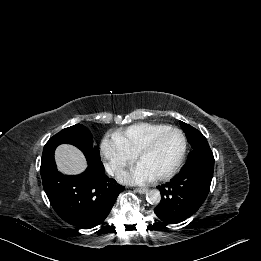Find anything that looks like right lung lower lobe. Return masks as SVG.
<instances>
[{"instance_id": "1", "label": "right lung lower lobe", "mask_w": 261, "mask_h": 261, "mask_svg": "<svg viewBox=\"0 0 261 261\" xmlns=\"http://www.w3.org/2000/svg\"><path fill=\"white\" fill-rule=\"evenodd\" d=\"M86 156V171L76 176L58 172L54 156L41 161V177L45 193L56 211L66 222L89 229L101 224L111 211L124 186L105 175L100 154L89 149L85 140L76 145Z\"/></svg>"}]
</instances>
